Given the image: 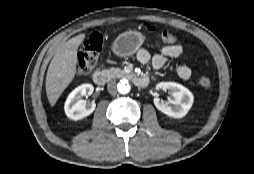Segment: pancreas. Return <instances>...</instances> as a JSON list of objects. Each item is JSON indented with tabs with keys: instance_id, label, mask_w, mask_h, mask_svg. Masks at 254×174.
Listing matches in <instances>:
<instances>
[{
	"instance_id": "pancreas-1",
	"label": "pancreas",
	"mask_w": 254,
	"mask_h": 174,
	"mask_svg": "<svg viewBox=\"0 0 254 174\" xmlns=\"http://www.w3.org/2000/svg\"><path fill=\"white\" fill-rule=\"evenodd\" d=\"M105 73L108 78H121L127 75L126 72L120 68L105 69Z\"/></svg>"
}]
</instances>
